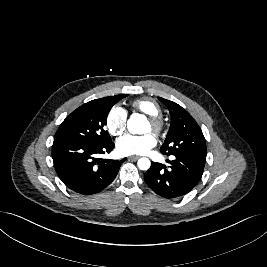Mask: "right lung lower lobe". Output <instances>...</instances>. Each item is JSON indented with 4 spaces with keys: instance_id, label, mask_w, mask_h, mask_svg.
Listing matches in <instances>:
<instances>
[{
    "instance_id": "obj_1",
    "label": "right lung lower lobe",
    "mask_w": 267,
    "mask_h": 267,
    "mask_svg": "<svg viewBox=\"0 0 267 267\" xmlns=\"http://www.w3.org/2000/svg\"><path fill=\"white\" fill-rule=\"evenodd\" d=\"M113 148L112 141L104 145L54 142V168L62 182L72 191L82 195L96 194L114 180L126 160L97 158L99 154L110 153Z\"/></svg>"
}]
</instances>
